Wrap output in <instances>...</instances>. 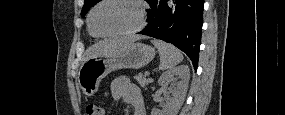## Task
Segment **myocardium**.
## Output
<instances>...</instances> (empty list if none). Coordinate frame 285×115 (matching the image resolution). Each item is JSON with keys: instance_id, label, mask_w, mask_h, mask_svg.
Segmentation results:
<instances>
[{"instance_id": "1", "label": "myocardium", "mask_w": 285, "mask_h": 115, "mask_svg": "<svg viewBox=\"0 0 285 115\" xmlns=\"http://www.w3.org/2000/svg\"><path fill=\"white\" fill-rule=\"evenodd\" d=\"M111 1V0H103L101 2H99L98 4H96L89 12L88 18H87V22H88V29L90 31L91 34H93L96 37L99 38H107V37H118V36H130V35H134L138 32H140L146 25V19H147V11H146V6L144 4L143 1L141 0H117V1H124V2H128L133 4L134 6H136L137 10H138V15H139V24L137 27L131 29V30H127V31H121V32H111V33H99L96 32L93 28V24H92V17L94 12L97 10L98 7H100L101 5H103L104 3Z\"/></svg>"}]
</instances>
